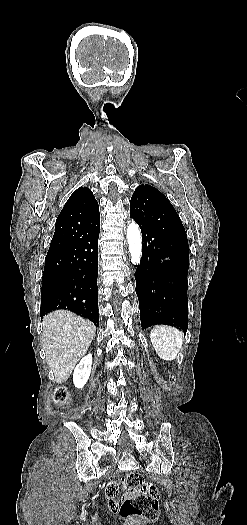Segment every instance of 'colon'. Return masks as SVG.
I'll return each instance as SVG.
<instances>
[{
  "instance_id": "obj_1",
  "label": "colon",
  "mask_w": 247,
  "mask_h": 525,
  "mask_svg": "<svg viewBox=\"0 0 247 525\" xmlns=\"http://www.w3.org/2000/svg\"><path fill=\"white\" fill-rule=\"evenodd\" d=\"M54 399L57 404L63 406L70 400V395L66 388L57 387ZM159 498L160 491L157 486L144 482L139 473L129 472L121 494L119 515L129 520L155 522L159 517Z\"/></svg>"
}]
</instances>
